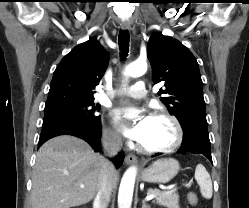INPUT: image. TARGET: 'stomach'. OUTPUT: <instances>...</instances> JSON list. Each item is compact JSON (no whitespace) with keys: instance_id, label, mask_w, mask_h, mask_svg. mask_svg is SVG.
Instances as JSON below:
<instances>
[{"instance_id":"0dacf381","label":"stomach","mask_w":249,"mask_h":208,"mask_svg":"<svg viewBox=\"0 0 249 208\" xmlns=\"http://www.w3.org/2000/svg\"><path fill=\"white\" fill-rule=\"evenodd\" d=\"M179 162L174 158H162L153 162L141 173V179L148 183H168L179 172Z\"/></svg>"}]
</instances>
